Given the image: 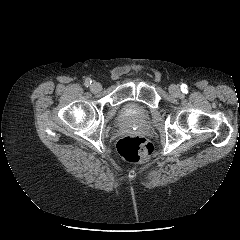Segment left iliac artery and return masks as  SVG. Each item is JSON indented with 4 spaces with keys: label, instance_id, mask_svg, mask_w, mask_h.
<instances>
[{
    "label": "left iliac artery",
    "instance_id": "44dca946",
    "mask_svg": "<svg viewBox=\"0 0 240 240\" xmlns=\"http://www.w3.org/2000/svg\"><path fill=\"white\" fill-rule=\"evenodd\" d=\"M181 91L184 92V93H186V92H187V85L182 84V85H181Z\"/></svg>",
    "mask_w": 240,
    "mask_h": 240
}]
</instances>
